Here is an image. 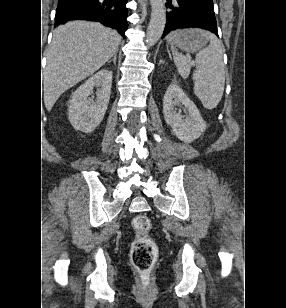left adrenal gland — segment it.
<instances>
[{"label":"left adrenal gland","instance_id":"a2214340","mask_svg":"<svg viewBox=\"0 0 286 308\" xmlns=\"http://www.w3.org/2000/svg\"><path fill=\"white\" fill-rule=\"evenodd\" d=\"M164 62L163 61H160V64H163Z\"/></svg>","mask_w":286,"mask_h":308}]
</instances>
